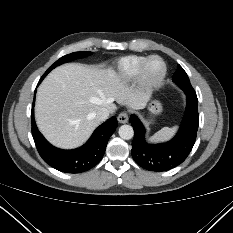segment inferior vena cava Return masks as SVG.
<instances>
[{
    "label": "inferior vena cava",
    "mask_w": 233,
    "mask_h": 233,
    "mask_svg": "<svg viewBox=\"0 0 233 233\" xmlns=\"http://www.w3.org/2000/svg\"><path fill=\"white\" fill-rule=\"evenodd\" d=\"M109 110L107 108H101L97 111V113L95 114V117L99 120V121H104L108 118L109 116Z\"/></svg>",
    "instance_id": "inferior-vena-cava-1"
}]
</instances>
